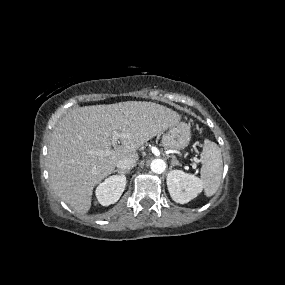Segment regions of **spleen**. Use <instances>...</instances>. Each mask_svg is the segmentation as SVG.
I'll list each match as a JSON object with an SVG mask.
<instances>
[{"mask_svg":"<svg viewBox=\"0 0 285 285\" xmlns=\"http://www.w3.org/2000/svg\"><path fill=\"white\" fill-rule=\"evenodd\" d=\"M200 161L202 163L200 175L204 192L207 197H211L220 186L223 171L222 154L219 146L210 140H205Z\"/></svg>","mask_w":285,"mask_h":285,"instance_id":"3e777b00","label":"spleen"}]
</instances>
